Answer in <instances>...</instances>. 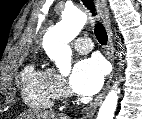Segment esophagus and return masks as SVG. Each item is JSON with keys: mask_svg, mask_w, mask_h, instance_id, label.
I'll use <instances>...</instances> for the list:
<instances>
[{"mask_svg": "<svg viewBox=\"0 0 142 119\" xmlns=\"http://www.w3.org/2000/svg\"><path fill=\"white\" fill-rule=\"evenodd\" d=\"M96 5L99 10V13L101 15V18L103 20L107 35H108V45H107V51L106 55L108 59L111 61L113 70L110 74L102 92L85 108L84 113L82 115V119H89L92 118L95 114L97 108L102 103L109 87L110 82L114 74V45H113V38H112V30H111V22H110V16H109V9L107 6L106 0H96Z\"/></svg>", "mask_w": 142, "mask_h": 119, "instance_id": "obj_1", "label": "esophagus"}]
</instances>
